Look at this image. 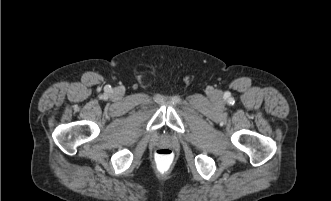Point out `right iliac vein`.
<instances>
[{
  "mask_svg": "<svg viewBox=\"0 0 331 201\" xmlns=\"http://www.w3.org/2000/svg\"><path fill=\"white\" fill-rule=\"evenodd\" d=\"M115 94H116L117 96H120V95L122 94L121 89H117V90L115 91Z\"/></svg>",
  "mask_w": 331,
  "mask_h": 201,
  "instance_id": "1",
  "label": "right iliac vein"
}]
</instances>
